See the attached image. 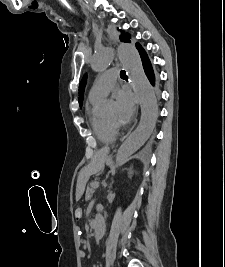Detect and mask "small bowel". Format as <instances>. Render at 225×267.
Returning <instances> with one entry per match:
<instances>
[{
	"label": "small bowel",
	"instance_id": "1",
	"mask_svg": "<svg viewBox=\"0 0 225 267\" xmlns=\"http://www.w3.org/2000/svg\"><path fill=\"white\" fill-rule=\"evenodd\" d=\"M85 255H86V254H85V252H84V251H81V252H80V257H81V258H84V257H85Z\"/></svg>",
	"mask_w": 225,
	"mask_h": 267
}]
</instances>
